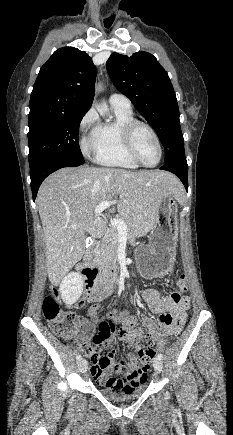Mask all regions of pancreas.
<instances>
[{"mask_svg":"<svg viewBox=\"0 0 233 435\" xmlns=\"http://www.w3.org/2000/svg\"><path fill=\"white\" fill-rule=\"evenodd\" d=\"M128 227V236L129 238H133L134 235L130 229L129 223L127 220L122 218ZM119 243V232L116 226L112 225L111 228L107 231L106 237L100 248L98 254L96 255V260L101 269L108 270L111 269L113 265H115L117 261V248Z\"/></svg>","mask_w":233,"mask_h":435,"instance_id":"pancreas-1","label":"pancreas"}]
</instances>
